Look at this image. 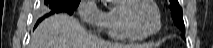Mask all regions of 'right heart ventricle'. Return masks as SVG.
Segmentation results:
<instances>
[{
    "label": "right heart ventricle",
    "instance_id": "obj_1",
    "mask_svg": "<svg viewBox=\"0 0 213 48\" xmlns=\"http://www.w3.org/2000/svg\"><path fill=\"white\" fill-rule=\"evenodd\" d=\"M125 3V0L119 1L116 5L110 7L106 12H104L103 28L102 30L114 40L119 41H138L140 38L132 34L124 25L120 8L121 5Z\"/></svg>",
    "mask_w": 213,
    "mask_h": 48
}]
</instances>
